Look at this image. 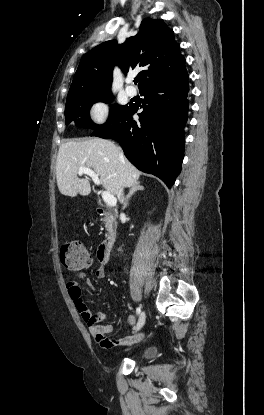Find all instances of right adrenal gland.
I'll use <instances>...</instances> for the list:
<instances>
[{"mask_svg":"<svg viewBox=\"0 0 264 415\" xmlns=\"http://www.w3.org/2000/svg\"><path fill=\"white\" fill-rule=\"evenodd\" d=\"M144 190V187L140 185V182H137L132 185L130 188L129 194L126 196L123 207L126 208L128 206L130 198L137 192Z\"/></svg>","mask_w":264,"mask_h":415,"instance_id":"right-adrenal-gland-1","label":"right adrenal gland"}]
</instances>
